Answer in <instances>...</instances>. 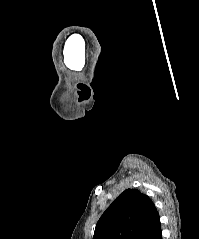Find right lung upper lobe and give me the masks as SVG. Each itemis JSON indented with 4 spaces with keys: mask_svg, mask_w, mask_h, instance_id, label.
<instances>
[{
    "mask_svg": "<svg viewBox=\"0 0 199 239\" xmlns=\"http://www.w3.org/2000/svg\"><path fill=\"white\" fill-rule=\"evenodd\" d=\"M159 220L157 209L147 195L127 189L103 213L93 239H141Z\"/></svg>",
    "mask_w": 199,
    "mask_h": 239,
    "instance_id": "1",
    "label": "right lung upper lobe"
}]
</instances>
